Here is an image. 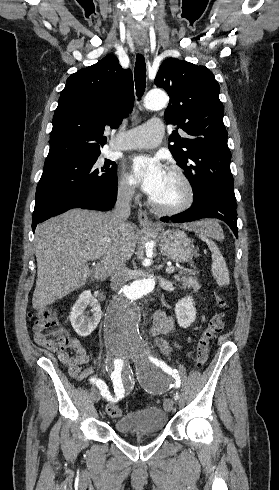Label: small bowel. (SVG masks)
Returning a JSON list of instances; mask_svg holds the SVG:
<instances>
[{
    "label": "small bowel",
    "mask_w": 279,
    "mask_h": 490,
    "mask_svg": "<svg viewBox=\"0 0 279 490\" xmlns=\"http://www.w3.org/2000/svg\"><path fill=\"white\" fill-rule=\"evenodd\" d=\"M176 331L174 319L163 311H156L153 316L152 332L156 339V343L165 354H169L172 350L171 343L163 339V335L173 334ZM71 348L73 353L58 352V360L66 366L69 374L76 380H88L94 373L93 366H87L89 362V354L86 348L80 343L77 338H73ZM97 363V361H96Z\"/></svg>",
    "instance_id": "obj_1"
}]
</instances>
